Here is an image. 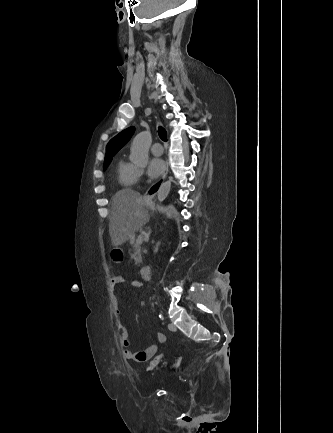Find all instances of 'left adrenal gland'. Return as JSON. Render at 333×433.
Instances as JSON below:
<instances>
[{
    "label": "left adrenal gland",
    "instance_id": "left-adrenal-gland-1",
    "mask_svg": "<svg viewBox=\"0 0 333 433\" xmlns=\"http://www.w3.org/2000/svg\"><path fill=\"white\" fill-rule=\"evenodd\" d=\"M159 246H160V242H157V244H156V246H155V252H157L158 251V249H159Z\"/></svg>",
    "mask_w": 333,
    "mask_h": 433
}]
</instances>
